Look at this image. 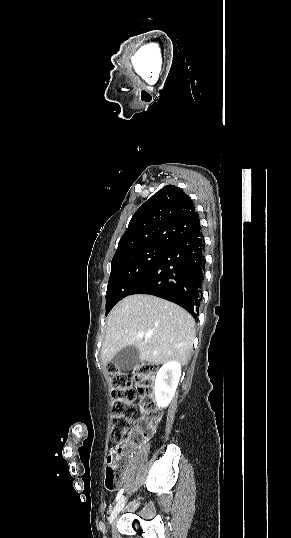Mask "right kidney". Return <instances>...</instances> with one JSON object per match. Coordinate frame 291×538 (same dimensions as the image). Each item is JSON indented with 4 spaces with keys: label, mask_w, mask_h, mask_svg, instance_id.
<instances>
[{
    "label": "right kidney",
    "mask_w": 291,
    "mask_h": 538,
    "mask_svg": "<svg viewBox=\"0 0 291 538\" xmlns=\"http://www.w3.org/2000/svg\"><path fill=\"white\" fill-rule=\"evenodd\" d=\"M180 376L181 365L176 360L166 362L158 371L155 380L154 393L159 408H165L171 402Z\"/></svg>",
    "instance_id": "obj_1"
}]
</instances>
